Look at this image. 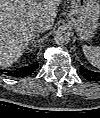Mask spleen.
Listing matches in <instances>:
<instances>
[{"label": "spleen", "mask_w": 100, "mask_h": 118, "mask_svg": "<svg viewBox=\"0 0 100 118\" xmlns=\"http://www.w3.org/2000/svg\"><path fill=\"white\" fill-rule=\"evenodd\" d=\"M83 52L86 56L87 60L94 66L99 67L100 66V47L96 46H83Z\"/></svg>", "instance_id": "1"}]
</instances>
